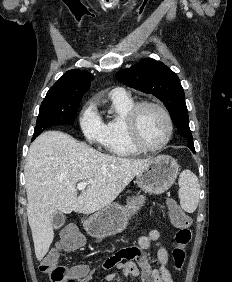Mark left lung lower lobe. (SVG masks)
Masks as SVG:
<instances>
[{
  "instance_id": "0a47b994",
  "label": "left lung lower lobe",
  "mask_w": 232,
  "mask_h": 282,
  "mask_svg": "<svg viewBox=\"0 0 232 282\" xmlns=\"http://www.w3.org/2000/svg\"><path fill=\"white\" fill-rule=\"evenodd\" d=\"M189 148H190V150H191L193 153H195V148H194V146H190Z\"/></svg>"
}]
</instances>
